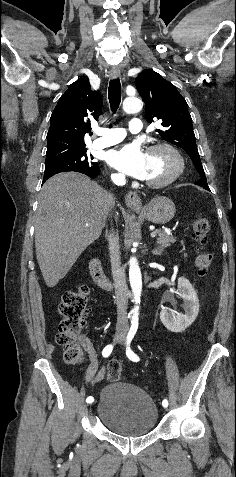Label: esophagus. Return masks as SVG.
<instances>
[{"label": "esophagus", "instance_id": "1", "mask_svg": "<svg viewBox=\"0 0 236 477\" xmlns=\"http://www.w3.org/2000/svg\"><path fill=\"white\" fill-rule=\"evenodd\" d=\"M110 75L112 78L116 79L120 77V69L117 67L112 68ZM126 205L134 210H140L142 208L141 198L137 192L129 191L125 196Z\"/></svg>", "mask_w": 236, "mask_h": 477}]
</instances>
